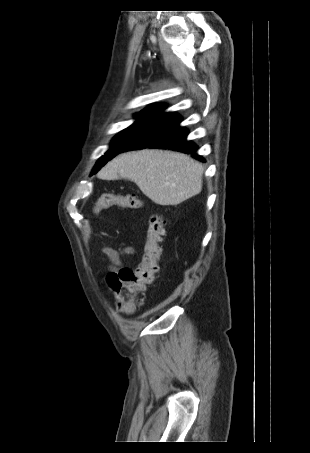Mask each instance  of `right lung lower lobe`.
Masks as SVG:
<instances>
[{"instance_id": "obj_1", "label": "right lung lower lobe", "mask_w": 310, "mask_h": 453, "mask_svg": "<svg viewBox=\"0 0 310 453\" xmlns=\"http://www.w3.org/2000/svg\"><path fill=\"white\" fill-rule=\"evenodd\" d=\"M180 122L181 118L174 112L165 113L121 152L143 148H163L191 154L194 158L204 162V159L196 154L198 146L186 139L188 130L181 127Z\"/></svg>"}]
</instances>
